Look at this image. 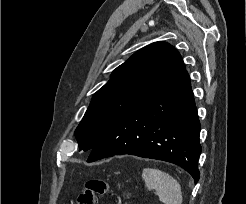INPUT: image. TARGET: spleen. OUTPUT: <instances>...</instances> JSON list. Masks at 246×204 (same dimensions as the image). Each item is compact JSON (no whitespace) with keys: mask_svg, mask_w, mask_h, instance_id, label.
Listing matches in <instances>:
<instances>
[{"mask_svg":"<svg viewBox=\"0 0 246 204\" xmlns=\"http://www.w3.org/2000/svg\"><path fill=\"white\" fill-rule=\"evenodd\" d=\"M142 179L148 190H154L164 204H182L180 183L168 173L155 168H144Z\"/></svg>","mask_w":246,"mask_h":204,"instance_id":"1","label":"spleen"}]
</instances>
